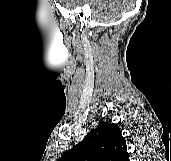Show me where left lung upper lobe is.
Segmentation results:
<instances>
[{
  "mask_svg": "<svg viewBox=\"0 0 171 161\" xmlns=\"http://www.w3.org/2000/svg\"><path fill=\"white\" fill-rule=\"evenodd\" d=\"M59 161H129L126 140L118 125L102 122Z\"/></svg>",
  "mask_w": 171,
  "mask_h": 161,
  "instance_id": "obj_1",
  "label": "left lung upper lobe"
}]
</instances>
